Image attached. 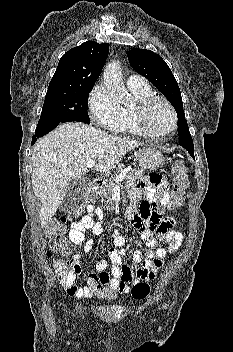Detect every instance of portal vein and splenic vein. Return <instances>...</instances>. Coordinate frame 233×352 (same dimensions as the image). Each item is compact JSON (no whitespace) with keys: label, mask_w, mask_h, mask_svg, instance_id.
<instances>
[{"label":"portal vein and splenic vein","mask_w":233,"mask_h":352,"mask_svg":"<svg viewBox=\"0 0 233 352\" xmlns=\"http://www.w3.org/2000/svg\"><path fill=\"white\" fill-rule=\"evenodd\" d=\"M95 160L94 159H90L89 161H87L86 166L88 168H92L95 166ZM130 171V168H126L123 171H121V173L119 175H117L114 179L115 182L119 183L121 182L125 177L126 174Z\"/></svg>","instance_id":"obj_1"}]
</instances>
